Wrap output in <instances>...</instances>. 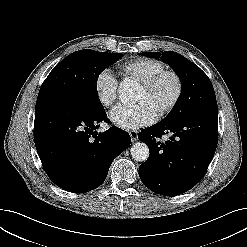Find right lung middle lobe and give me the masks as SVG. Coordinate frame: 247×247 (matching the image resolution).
Returning <instances> with one entry per match:
<instances>
[{
    "label": "right lung middle lobe",
    "mask_w": 247,
    "mask_h": 247,
    "mask_svg": "<svg viewBox=\"0 0 247 247\" xmlns=\"http://www.w3.org/2000/svg\"><path fill=\"white\" fill-rule=\"evenodd\" d=\"M122 57L121 53L79 50L63 59L43 82L38 98L60 96L91 112L102 111L96 91L99 74Z\"/></svg>",
    "instance_id": "dd1d6c3e"
}]
</instances>
